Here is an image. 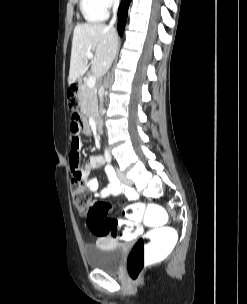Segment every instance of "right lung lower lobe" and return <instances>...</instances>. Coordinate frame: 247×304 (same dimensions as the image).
<instances>
[{"mask_svg":"<svg viewBox=\"0 0 247 304\" xmlns=\"http://www.w3.org/2000/svg\"><path fill=\"white\" fill-rule=\"evenodd\" d=\"M130 0H122L118 9V33L122 35L128 13Z\"/></svg>","mask_w":247,"mask_h":304,"instance_id":"right-lung-lower-lobe-1","label":"right lung lower lobe"}]
</instances>
